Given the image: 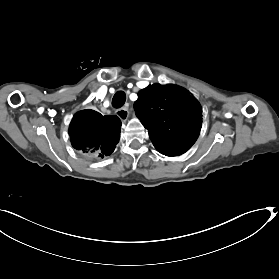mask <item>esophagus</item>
I'll return each instance as SVG.
<instances>
[{
  "instance_id": "1",
  "label": "esophagus",
  "mask_w": 279,
  "mask_h": 279,
  "mask_svg": "<svg viewBox=\"0 0 279 279\" xmlns=\"http://www.w3.org/2000/svg\"><path fill=\"white\" fill-rule=\"evenodd\" d=\"M115 114L120 118L121 121H126L129 117V109L127 106L117 109Z\"/></svg>"
}]
</instances>
